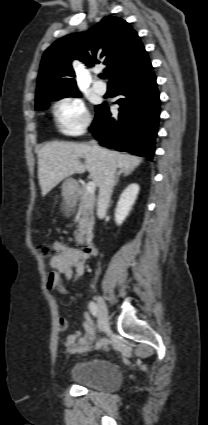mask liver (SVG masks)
Returning a JSON list of instances; mask_svg holds the SVG:
<instances>
[{
	"instance_id": "1",
	"label": "liver",
	"mask_w": 208,
	"mask_h": 425,
	"mask_svg": "<svg viewBox=\"0 0 208 425\" xmlns=\"http://www.w3.org/2000/svg\"><path fill=\"white\" fill-rule=\"evenodd\" d=\"M101 149L95 151L92 146L82 143L50 142L38 151V179L42 196H46L63 179L75 174L90 173L95 185L100 187L106 155H111L117 167L133 171L142 162V158ZM85 159V163L79 161Z\"/></svg>"
}]
</instances>
